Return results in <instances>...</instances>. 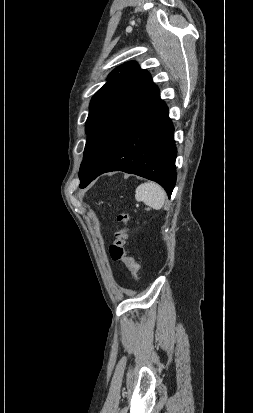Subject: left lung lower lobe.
Returning <instances> with one entry per match:
<instances>
[{
    "instance_id": "left-lung-lower-lobe-1",
    "label": "left lung lower lobe",
    "mask_w": 253,
    "mask_h": 413,
    "mask_svg": "<svg viewBox=\"0 0 253 413\" xmlns=\"http://www.w3.org/2000/svg\"><path fill=\"white\" fill-rule=\"evenodd\" d=\"M176 155L174 128L168 108L160 100L101 168L84 180L80 187H86L102 173L124 171L156 181L170 197L176 182Z\"/></svg>"
}]
</instances>
